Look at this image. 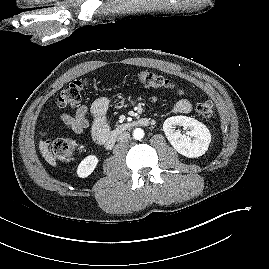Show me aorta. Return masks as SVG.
<instances>
[{"label": "aorta", "instance_id": "1", "mask_svg": "<svg viewBox=\"0 0 269 269\" xmlns=\"http://www.w3.org/2000/svg\"><path fill=\"white\" fill-rule=\"evenodd\" d=\"M133 137L137 140H141L144 137V131L141 128H136L133 131Z\"/></svg>", "mask_w": 269, "mask_h": 269}]
</instances>
